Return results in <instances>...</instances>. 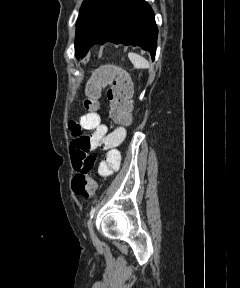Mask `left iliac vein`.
<instances>
[{
  "label": "left iliac vein",
  "mask_w": 240,
  "mask_h": 288,
  "mask_svg": "<svg viewBox=\"0 0 240 288\" xmlns=\"http://www.w3.org/2000/svg\"><path fill=\"white\" fill-rule=\"evenodd\" d=\"M88 229H89V232H90L91 237H92L93 239H96V235H95L94 229H93V220H92V219H90V220L88 221Z\"/></svg>",
  "instance_id": "left-iliac-vein-1"
}]
</instances>
